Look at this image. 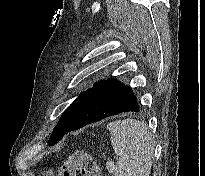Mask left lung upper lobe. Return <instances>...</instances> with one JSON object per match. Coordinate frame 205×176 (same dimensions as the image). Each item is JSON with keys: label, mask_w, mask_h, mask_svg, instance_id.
Here are the masks:
<instances>
[{"label": "left lung upper lobe", "mask_w": 205, "mask_h": 176, "mask_svg": "<svg viewBox=\"0 0 205 176\" xmlns=\"http://www.w3.org/2000/svg\"><path fill=\"white\" fill-rule=\"evenodd\" d=\"M104 82V80L97 82L92 88L85 92H81L78 98L75 99L73 103L63 112L48 141L50 146L55 145L65 135V132L70 126L81 101L89 94L95 92Z\"/></svg>", "instance_id": "1"}]
</instances>
